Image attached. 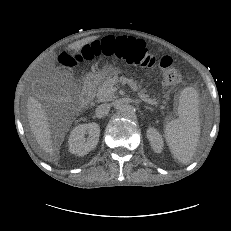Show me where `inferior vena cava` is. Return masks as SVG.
I'll return each instance as SVG.
<instances>
[{
    "label": "inferior vena cava",
    "mask_w": 231,
    "mask_h": 231,
    "mask_svg": "<svg viewBox=\"0 0 231 231\" xmlns=\"http://www.w3.org/2000/svg\"><path fill=\"white\" fill-rule=\"evenodd\" d=\"M110 111V104H101L96 108V115L98 117H103L105 115H107Z\"/></svg>",
    "instance_id": "602c4592"
}]
</instances>
